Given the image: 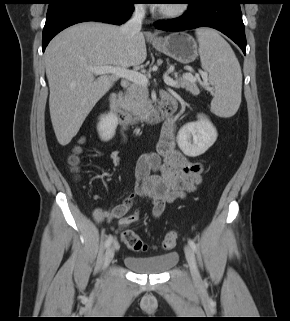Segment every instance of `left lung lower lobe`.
Here are the masks:
<instances>
[{
    "mask_svg": "<svg viewBox=\"0 0 290 321\" xmlns=\"http://www.w3.org/2000/svg\"><path fill=\"white\" fill-rule=\"evenodd\" d=\"M181 17L154 23L157 29L183 31L197 27L215 28L232 39L246 54L245 28L240 4L242 0H192Z\"/></svg>",
    "mask_w": 290,
    "mask_h": 321,
    "instance_id": "left-lung-lower-lobe-1",
    "label": "left lung lower lobe"
}]
</instances>
